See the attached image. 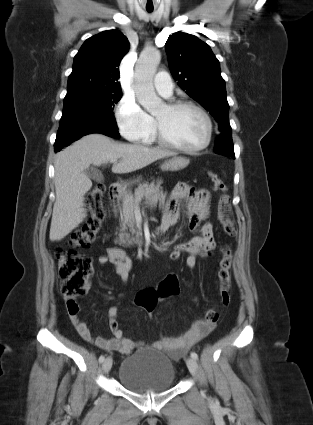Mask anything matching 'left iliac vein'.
<instances>
[{"label": "left iliac vein", "mask_w": 313, "mask_h": 425, "mask_svg": "<svg viewBox=\"0 0 313 425\" xmlns=\"http://www.w3.org/2000/svg\"><path fill=\"white\" fill-rule=\"evenodd\" d=\"M186 364H187V367H188L189 371L191 372V374L195 377H198L197 361L194 358L189 357V358L186 359Z\"/></svg>", "instance_id": "1"}]
</instances>
